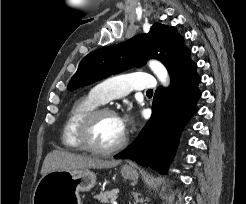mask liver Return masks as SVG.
Masks as SVG:
<instances>
[{
  "mask_svg": "<svg viewBox=\"0 0 246 204\" xmlns=\"http://www.w3.org/2000/svg\"><path fill=\"white\" fill-rule=\"evenodd\" d=\"M120 163V160L97 159L67 151L53 150L44 159L41 175L44 176L56 170L109 169Z\"/></svg>",
  "mask_w": 246,
  "mask_h": 204,
  "instance_id": "liver-1",
  "label": "liver"
}]
</instances>
